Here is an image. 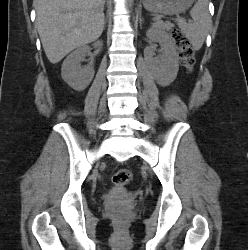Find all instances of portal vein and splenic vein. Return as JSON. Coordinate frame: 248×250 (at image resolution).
<instances>
[{"instance_id": "portal-vein-and-splenic-vein-1", "label": "portal vein and splenic vein", "mask_w": 248, "mask_h": 250, "mask_svg": "<svg viewBox=\"0 0 248 250\" xmlns=\"http://www.w3.org/2000/svg\"><path fill=\"white\" fill-rule=\"evenodd\" d=\"M161 17H163V16H157V17L154 18V20H158V19H160Z\"/></svg>"}]
</instances>
